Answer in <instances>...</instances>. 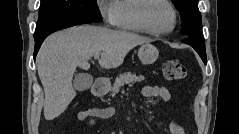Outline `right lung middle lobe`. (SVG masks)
Listing matches in <instances>:
<instances>
[{
  "label": "right lung middle lobe",
  "instance_id": "right-lung-middle-lobe-1",
  "mask_svg": "<svg viewBox=\"0 0 239 134\" xmlns=\"http://www.w3.org/2000/svg\"><path fill=\"white\" fill-rule=\"evenodd\" d=\"M76 19L102 21L96 0H41L34 36L55 24Z\"/></svg>",
  "mask_w": 239,
  "mask_h": 134
}]
</instances>
